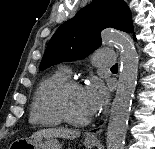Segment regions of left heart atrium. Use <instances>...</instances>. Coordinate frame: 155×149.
<instances>
[{"label":"left heart atrium","mask_w":155,"mask_h":149,"mask_svg":"<svg viewBox=\"0 0 155 149\" xmlns=\"http://www.w3.org/2000/svg\"><path fill=\"white\" fill-rule=\"evenodd\" d=\"M83 98L88 113L94 115L100 112L108 103V92L105 85L98 79H93L83 88Z\"/></svg>","instance_id":"1"}]
</instances>
